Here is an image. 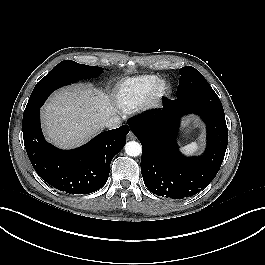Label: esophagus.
<instances>
[{
  "label": "esophagus",
  "instance_id": "1",
  "mask_svg": "<svg viewBox=\"0 0 265 265\" xmlns=\"http://www.w3.org/2000/svg\"><path fill=\"white\" fill-rule=\"evenodd\" d=\"M128 139H130V140L135 139V135L132 132H129Z\"/></svg>",
  "mask_w": 265,
  "mask_h": 265
}]
</instances>
